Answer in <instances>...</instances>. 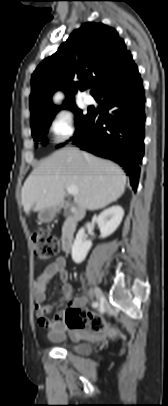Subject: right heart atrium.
<instances>
[{
    "label": "right heart atrium",
    "instance_id": "1",
    "mask_svg": "<svg viewBox=\"0 0 168 406\" xmlns=\"http://www.w3.org/2000/svg\"><path fill=\"white\" fill-rule=\"evenodd\" d=\"M76 121L69 111L57 112L49 122V131L55 143H62L69 139L75 132Z\"/></svg>",
    "mask_w": 168,
    "mask_h": 406
}]
</instances>
